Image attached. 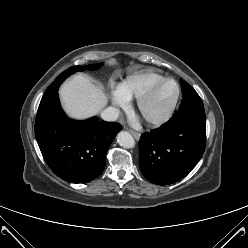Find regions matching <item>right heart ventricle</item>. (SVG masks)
<instances>
[{"label":"right heart ventricle","instance_id":"e07e8e85","mask_svg":"<svg viewBox=\"0 0 248 248\" xmlns=\"http://www.w3.org/2000/svg\"><path fill=\"white\" fill-rule=\"evenodd\" d=\"M165 77L155 71H145L129 75L120 85L122 93L128 98H138L153 84Z\"/></svg>","mask_w":248,"mask_h":248}]
</instances>
